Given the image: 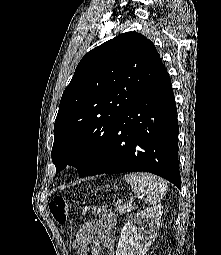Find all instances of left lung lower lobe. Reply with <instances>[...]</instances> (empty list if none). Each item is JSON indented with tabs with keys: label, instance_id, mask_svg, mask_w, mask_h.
I'll return each mask as SVG.
<instances>
[{
	"label": "left lung lower lobe",
	"instance_id": "obj_1",
	"mask_svg": "<svg viewBox=\"0 0 221 255\" xmlns=\"http://www.w3.org/2000/svg\"><path fill=\"white\" fill-rule=\"evenodd\" d=\"M167 69L116 120L100 156L82 176L143 171L181 188L179 126Z\"/></svg>",
	"mask_w": 221,
	"mask_h": 255
}]
</instances>
